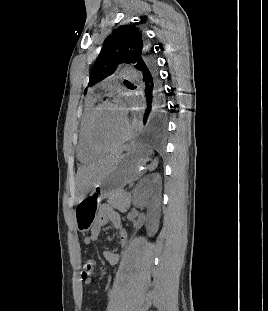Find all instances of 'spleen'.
Returning a JSON list of instances; mask_svg holds the SVG:
<instances>
[{
	"mask_svg": "<svg viewBox=\"0 0 268 311\" xmlns=\"http://www.w3.org/2000/svg\"><path fill=\"white\" fill-rule=\"evenodd\" d=\"M148 152H150V150H148ZM157 160H154V162L152 163L151 167H150V170H154L156 167H157Z\"/></svg>",
	"mask_w": 268,
	"mask_h": 311,
	"instance_id": "3e777b00",
	"label": "spleen"
}]
</instances>
